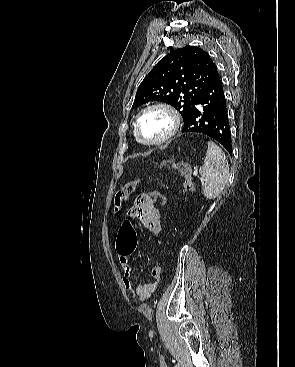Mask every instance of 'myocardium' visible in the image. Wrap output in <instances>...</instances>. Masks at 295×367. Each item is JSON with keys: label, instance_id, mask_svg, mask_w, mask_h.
Instances as JSON below:
<instances>
[{"label": "myocardium", "instance_id": "1", "mask_svg": "<svg viewBox=\"0 0 295 367\" xmlns=\"http://www.w3.org/2000/svg\"><path fill=\"white\" fill-rule=\"evenodd\" d=\"M152 110H162L165 113H167L168 116L171 119V128L168 131V133L166 135H164L163 137H161L157 140L148 141V140L143 139L140 135L139 122H140L141 118L143 117V115H145L146 113H148ZM180 124H181L180 116H179L178 112L172 106H170L166 103H154V104H150V105L144 107L137 114V116L134 120V135H135L136 139L144 145L159 146V145H162L164 143L169 142L170 140H172L175 137V135L178 133V131L180 129Z\"/></svg>", "mask_w": 295, "mask_h": 367}]
</instances>
